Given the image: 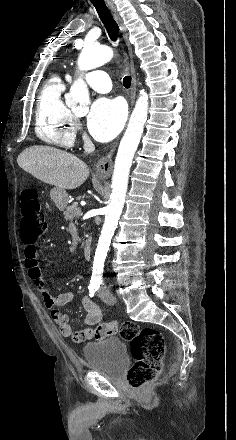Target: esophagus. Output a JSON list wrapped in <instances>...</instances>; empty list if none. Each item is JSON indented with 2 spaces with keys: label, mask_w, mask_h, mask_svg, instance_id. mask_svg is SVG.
<instances>
[{
  "label": "esophagus",
  "mask_w": 236,
  "mask_h": 440,
  "mask_svg": "<svg viewBox=\"0 0 236 440\" xmlns=\"http://www.w3.org/2000/svg\"><path fill=\"white\" fill-rule=\"evenodd\" d=\"M107 5H108V8L111 11L115 21L117 22L120 30L123 32L125 42H126L127 47L129 49V55H130V59H131L130 60V70H131V75H132V83H131V88H130V100H131V106H132L134 103V100H135L136 86H137L134 62L132 59V49H131L130 43L128 41V34L126 32L125 25L122 22L121 18L119 17L115 6L111 2H108ZM114 151H115V146L105 156L101 157L98 160V162L96 164V168H95V173L97 176H99L101 178H108L111 175V172L113 169L112 157H113Z\"/></svg>",
  "instance_id": "1"
}]
</instances>
